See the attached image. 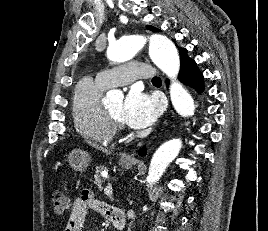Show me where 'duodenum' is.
<instances>
[{"instance_id": "obj_1", "label": "duodenum", "mask_w": 268, "mask_h": 231, "mask_svg": "<svg viewBox=\"0 0 268 231\" xmlns=\"http://www.w3.org/2000/svg\"><path fill=\"white\" fill-rule=\"evenodd\" d=\"M110 221L117 229H123L126 224V218L122 209H113L110 216Z\"/></svg>"}]
</instances>
